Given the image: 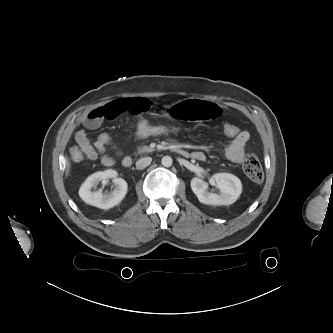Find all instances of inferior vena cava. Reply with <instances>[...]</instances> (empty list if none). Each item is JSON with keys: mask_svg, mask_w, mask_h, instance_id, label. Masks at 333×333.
Wrapping results in <instances>:
<instances>
[{"mask_svg": "<svg viewBox=\"0 0 333 333\" xmlns=\"http://www.w3.org/2000/svg\"><path fill=\"white\" fill-rule=\"evenodd\" d=\"M151 161H152L151 157L141 158V159L137 160L136 168L139 169V170H142L145 167H147L148 165H150Z\"/></svg>", "mask_w": 333, "mask_h": 333, "instance_id": "obj_1", "label": "inferior vena cava"}]
</instances>
